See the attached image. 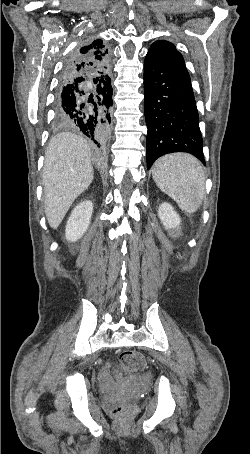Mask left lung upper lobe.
<instances>
[{
    "label": "left lung upper lobe",
    "mask_w": 250,
    "mask_h": 454,
    "mask_svg": "<svg viewBox=\"0 0 250 454\" xmlns=\"http://www.w3.org/2000/svg\"><path fill=\"white\" fill-rule=\"evenodd\" d=\"M148 53L160 59L184 63L181 53L176 50V47L171 42L165 40L154 42Z\"/></svg>",
    "instance_id": "5c2ea615"
}]
</instances>
